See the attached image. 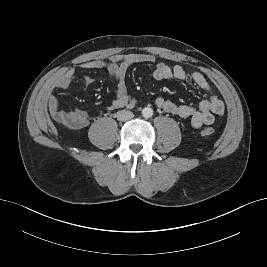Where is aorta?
Returning a JSON list of instances; mask_svg holds the SVG:
<instances>
[{"label": "aorta", "mask_w": 267, "mask_h": 267, "mask_svg": "<svg viewBox=\"0 0 267 267\" xmlns=\"http://www.w3.org/2000/svg\"><path fill=\"white\" fill-rule=\"evenodd\" d=\"M142 115H143V117H145V118H150V117H152V115H153V110H152V108H150V107H145V108L142 110Z\"/></svg>", "instance_id": "obj_1"}]
</instances>
